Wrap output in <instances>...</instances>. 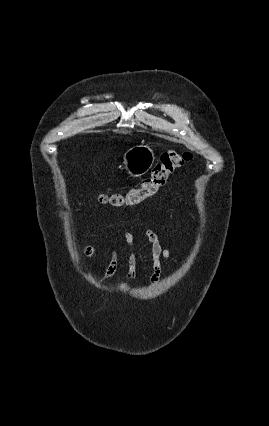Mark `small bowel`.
<instances>
[{
  "instance_id": "c3829d8e",
  "label": "small bowel",
  "mask_w": 269,
  "mask_h": 426,
  "mask_svg": "<svg viewBox=\"0 0 269 426\" xmlns=\"http://www.w3.org/2000/svg\"><path fill=\"white\" fill-rule=\"evenodd\" d=\"M145 235H146L147 242L150 246V257L152 261L150 287H153L158 283L159 279L162 276V273H163L162 260H166V261L170 260L171 253L169 249L162 246V243L157 233H155L153 230H150V229L146 230ZM123 239L129 248V254L127 259L128 272L126 275V279L128 281H132L136 276V271L138 268V255H137V249L135 245V238L132 233L126 231L123 234ZM106 249L110 251V261L104 272V275L102 278L103 282L108 281L117 272L118 265H119V252L117 248L112 244H108L106 245ZM83 250L87 256H94L99 251V248L87 244L84 246Z\"/></svg>"
}]
</instances>
